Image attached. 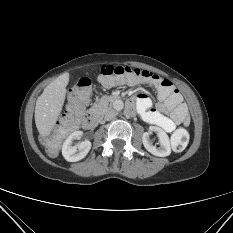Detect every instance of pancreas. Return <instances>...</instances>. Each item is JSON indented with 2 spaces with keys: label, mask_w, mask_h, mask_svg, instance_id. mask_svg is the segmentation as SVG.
I'll return each instance as SVG.
<instances>
[{
  "label": "pancreas",
  "mask_w": 233,
  "mask_h": 233,
  "mask_svg": "<svg viewBox=\"0 0 233 233\" xmlns=\"http://www.w3.org/2000/svg\"><path fill=\"white\" fill-rule=\"evenodd\" d=\"M116 99L115 96H103L97 99L94 105L89 109V113L92 115L101 116L103 115L111 106V103Z\"/></svg>",
  "instance_id": "cf45deb5"
}]
</instances>
